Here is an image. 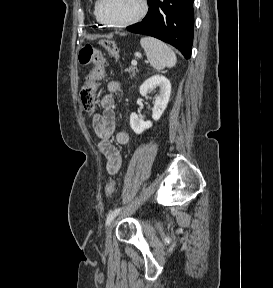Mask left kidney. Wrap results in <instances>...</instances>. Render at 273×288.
Segmentation results:
<instances>
[{"instance_id":"5707ae66","label":"left kidney","mask_w":273,"mask_h":288,"mask_svg":"<svg viewBox=\"0 0 273 288\" xmlns=\"http://www.w3.org/2000/svg\"><path fill=\"white\" fill-rule=\"evenodd\" d=\"M158 88V94L154 98V107L152 111V119L158 121L167 104L171 95V84L170 81L163 75H153L146 79L140 86L139 92L142 96H146L148 92ZM130 126L136 134H141L146 129L152 127L151 121H144L137 113L130 115Z\"/></svg>"}]
</instances>
